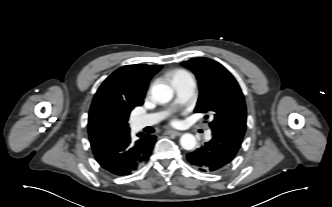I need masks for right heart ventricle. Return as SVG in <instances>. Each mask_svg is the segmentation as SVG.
Here are the masks:
<instances>
[{
  "label": "right heart ventricle",
  "mask_w": 332,
  "mask_h": 207,
  "mask_svg": "<svg viewBox=\"0 0 332 207\" xmlns=\"http://www.w3.org/2000/svg\"><path fill=\"white\" fill-rule=\"evenodd\" d=\"M188 77H191V75L187 71L182 70V69L175 70L170 73V80H171L172 85L175 87V89H176L177 84L180 81H182Z\"/></svg>",
  "instance_id": "e07e8e85"
}]
</instances>
